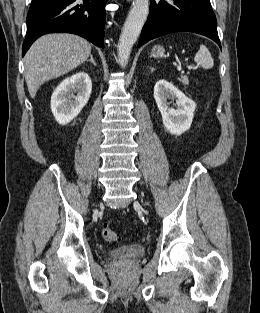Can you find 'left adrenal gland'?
Wrapping results in <instances>:
<instances>
[{"mask_svg":"<svg viewBox=\"0 0 260 313\" xmlns=\"http://www.w3.org/2000/svg\"><path fill=\"white\" fill-rule=\"evenodd\" d=\"M150 70H151V72H153V71H154V68H150Z\"/></svg>","mask_w":260,"mask_h":313,"instance_id":"a2214340","label":"left adrenal gland"}]
</instances>
